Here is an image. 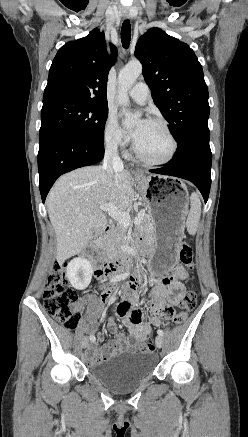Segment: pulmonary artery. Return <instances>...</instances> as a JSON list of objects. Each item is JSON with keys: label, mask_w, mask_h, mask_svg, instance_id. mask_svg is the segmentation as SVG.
Instances as JSON below:
<instances>
[{"label": "pulmonary artery", "mask_w": 248, "mask_h": 437, "mask_svg": "<svg viewBox=\"0 0 248 437\" xmlns=\"http://www.w3.org/2000/svg\"><path fill=\"white\" fill-rule=\"evenodd\" d=\"M129 96L139 104H144L150 96V90L146 83L138 82L129 91Z\"/></svg>", "instance_id": "pulmonary-artery-1"}]
</instances>
